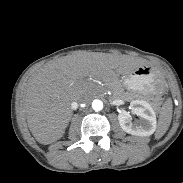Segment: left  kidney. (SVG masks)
<instances>
[{
	"mask_svg": "<svg viewBox=\"0 0 183 183\" xmlns=\"http://www.w3.org/2000/svg\"><path fill=\"white\" fill-rule=\"evenodd\" d=\"M132 112L141 118L132 122L127 112L118 115L121 128L128 134L136 136H150L156 130V114L150 103L144 100H133L130 103Z\"/></svg>",
	"mask_w": 183,
	"mask_h": 183,
	"instance_id": "1",
	"label": "left kidney"
}]
</instances>
